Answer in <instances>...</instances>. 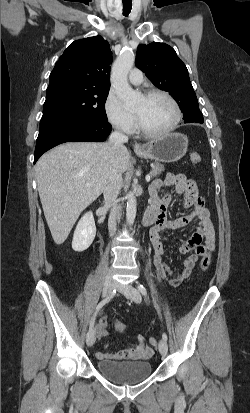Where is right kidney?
Instances as JSON below:
<instances>
[{
  "instance_id": "right-kidney-1",
  "label": "right kidney",
  "mask_w": 250,
  "mask_h": 413,
  "mask_svg": "<svg viewBox=\"0 0 250 413\" xmlns=\"http://www.w3.org/2000/svg\"><path fill=\"white\" fill-rule=\"evenodd\" d=\"M96 235V226L92 212H87L79 220L73 235L72 248L76 252L86 250Z\"/></svg>"
}]
</instances>
